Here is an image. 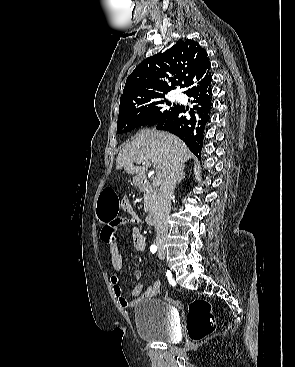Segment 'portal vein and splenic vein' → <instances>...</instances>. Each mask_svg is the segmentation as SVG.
I'll return each mask as SVG.
<instances>
[{
    "instance_id": "18ae733b",
    "label": "portal vein and splenic vein",
    "mask_w": 295,
    "mask_h": 367,
    "mask_svg": "<svg viewBox=\"0 0 295 367\" xmlns=\"http://www.w3.org/2000/svg\"><path fill=\"white\" fill-rule=\"evenodd\" d=\"M154 164L156 163L154 160L152 161ZM162 182L161 178L159 176L155 177L154 180H153V185L154 186H158L160 185Z\"/></svg>"
}]
</instances>
